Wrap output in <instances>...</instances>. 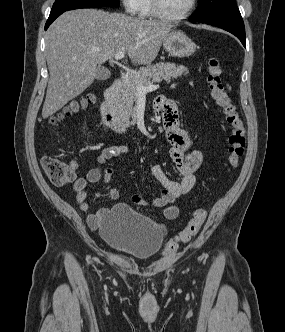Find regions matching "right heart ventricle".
Masks as SVG:
<instances>
[{
  "label": "right heart ventricle",
  "instance_id": "obj_1",
  "mask_svg": "<svg viewBox=\"0 0 285 332\" xmlns=\"http://www.w3.org/2000/svg\"><path fill=\"white\" fill-rule=\"evenodd\" d=\"M138 16L140 18H153L155 17L152 11V2L151 0H140Z\"/></svg>",
  "mask_w": 285,
  "mask_h": 332
}]
</instances>
